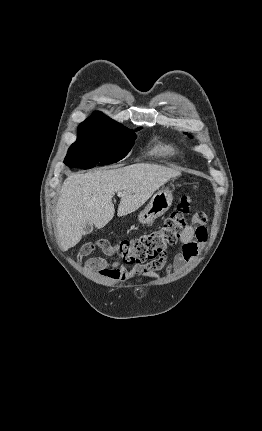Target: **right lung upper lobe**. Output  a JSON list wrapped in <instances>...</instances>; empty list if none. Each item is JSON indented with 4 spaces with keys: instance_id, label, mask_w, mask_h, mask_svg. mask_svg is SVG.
I'll return each mask as SVG.
<instances>
[{
    "instance_id": "1",
    "label": "right lung upper lobe",
    "mask_w": 262,
    "mask_h": 431,
    "mask_svg": "<svg viewBox=\"0 0 262 431\" xmlns=\"http://www.w3.org/2000/svg\"><path fill=\"white\" fill-rule=\"evenodd\" d=\"M111 122H114V120L106 117L100 112H96L91 117L82 122L80 125H101L109 124Z\"/></svg>"
}]
</instances>
